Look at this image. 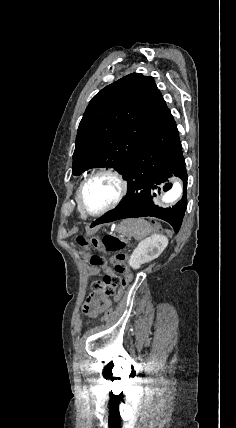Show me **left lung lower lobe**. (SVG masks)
Returning <instances> with one entry per match:
<instances>
[{
  "label": "left lung lower lobe",
  "instance_id": "1",
  "mask_svg": "<svg viewBox=\"0 0 236 428\" xmlns=\"http://www.w3.org/2000/svg\"><path fill=\"white\" fill-rule=\"evenodd\" d=\"M172 174L184 182L183 198L172 208H160L152 195L172 187ZM128 183L126 197L114 210L90 227L124 218L152 216L170 223L178 232L187 207V172L176 122L167 109L147 130L123 173Z\"/></svg>",
  "mask_w": 236,
  "mask_h": 428
}]
</instances>
